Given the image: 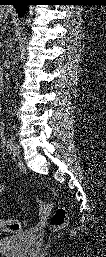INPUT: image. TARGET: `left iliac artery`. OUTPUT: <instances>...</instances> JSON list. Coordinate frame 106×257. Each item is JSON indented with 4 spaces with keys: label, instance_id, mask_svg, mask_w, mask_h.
I'll use <instances>...</instances> for the list:
<instances>
[{
    "label": "left iliac artery",
    "instance_id": "44dca946",
    "mask_svg": "<svg viewBox=\"0 0 106 257\" xmlns=\"http://www.w3.org/2000/svg\"><path fill=\"white\" fill-rule=\"evenodd\" d=\"M13 146H14V144H13L12 139H8V141H7V149H8L9 153H11Z\"/></svg>",
    "mask_w": 106,
    "mask_h": 257
}]
</instances>
